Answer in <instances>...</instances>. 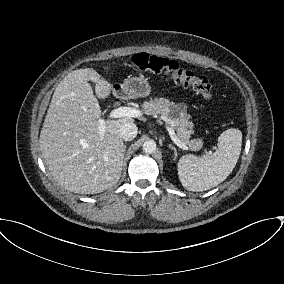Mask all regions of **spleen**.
I'll list each match as a JSON object with an SVG mask.
<instances>
[{
  "label": "spleen",
  "instance_id": "3e777b00",
  "mask_svg": "<svg viewBox=\"0 0 284 284\" xmlns=\"http://www.w3.org/2000/svg\"><path fill=\"white\" fill-rule=\"evenodd\" d=\"M242 132L231 128L218 137V149L201 157L185 155L179 159L178 175L182 186L194 192L211 189L233 171L241 152Z\"/></svg>",
  "mask_w": 284,
  "mask_h": 284
}]
</instances>
